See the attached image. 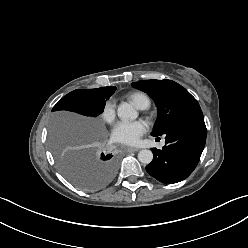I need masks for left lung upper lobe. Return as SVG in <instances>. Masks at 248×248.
I'll return each mask as SVG.
<instances>
[{"mask_svg":"<svg viewBox=\"0 0 248 248\" xmlns=\"http://www.w3.org/2000/svg\"><path fill=\"white\" fill-rule=\"evenodd\" d=\"M132 85L155 101L158 119L152 135L165 134L178 121L189 114L201 111L197 100L181 85L171 80H141Z\"/></svg>","mask_w":248,"mask_h":248,"instance_id":"5c2ea615","label":"left lung upper lobe"}]
</instances>
